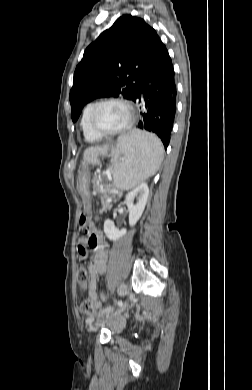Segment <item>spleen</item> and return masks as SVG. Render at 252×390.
Wrapping results in <instances>:
<instances>
[{
  "label": "spleen",
  "instance_id": "1",
  "mask_svg": "<svg viewBox=\"0 0 252 390\" xmlns=\"http://www.w3.org/2000/svg\"><path fill=\"white\" fill-rule=\"evenodd\" d=\"M119 153L124 154L125 160L113 168L114 185L122 190H130L157 172L164 149L154 134L133 130L118 138L114 154Z\"/></svg>",
  "mask_w": 252,
  "mask_h": 390
}]
</instances>
